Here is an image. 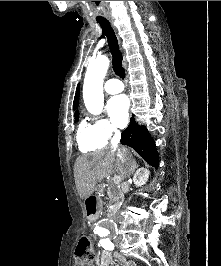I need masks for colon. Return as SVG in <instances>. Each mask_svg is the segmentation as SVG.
I'll return each instance as SVG.
<instances>
[{"instance_id":"5ec220e1","label":"colon","mask_w":221,"mask_h":266,"mask_svg":"<svg viewBox=\"0 0 221 266\" xmlns=\"http://www.w3.org/2000/svg\"><path fill=\"white\" fill-rule=\"evenodd\" d=\"M75 266H91L94 260V251L92 248V240L83 236L79 239L75 250Z\"/></svg>"}]
</instances>
